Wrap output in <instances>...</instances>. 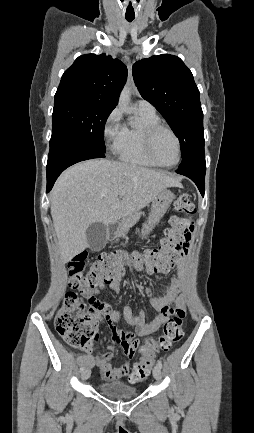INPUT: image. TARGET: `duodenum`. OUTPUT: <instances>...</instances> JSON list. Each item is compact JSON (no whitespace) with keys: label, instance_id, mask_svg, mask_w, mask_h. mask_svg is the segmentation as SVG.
Here are the masks:
<instances>
[{"label":"duodenum","instance_id":"obj_1","mask_svg":"<svg viewBox=\"0 0 254 433\" xmlns=\"http://www.w3.org/2000/svg\"><path fill=\"white\" fill-rule=\"evenodd\" d=\"M115 231H116V224L113 223V224L109 225L108 229H107L108 237H112L114 235Z\"/></svg>","mask_w":254,"mask_h":433}]
</instances>
